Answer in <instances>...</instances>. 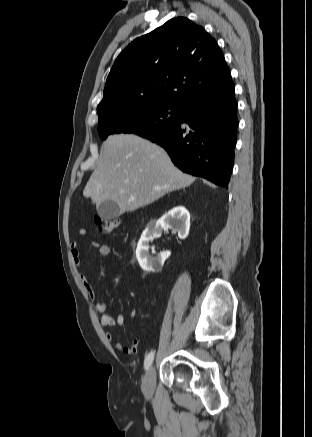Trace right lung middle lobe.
Instances as JSON below:
<instances>
[{"mask_svg": "<svg viewBox=\"0 0 312 437\" xmlns=\"http://www.w3.org/2000/svg\"><path fill=\"white\" fill-rule=\"evenodd\" d=\"M181 110L182 107L160 102L129 104L99 118L98 133L103 140L115 133L142 137L158 134L180 120Z\"/></svg>", "mask_w": 312, "mask_h": 437, "instance_id": "1", "label": "right lung middle lobe"}]
</instances>
